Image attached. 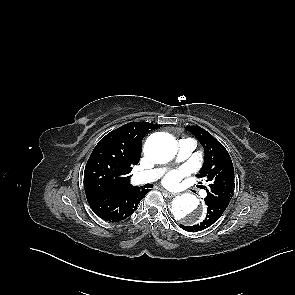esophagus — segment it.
Masks as SVG:
<instances>
[{"mask_svg":"<svg viewBox=\"0 0 295 295\" xmlns=\"http://www.w3.org/2000/svg\"><path fill=\"white\" fill-rule=\"evenodd\" d=\"M163 194L166 195L169 198H172V197H174L176 195L175 193H171V192H168L166 190H163Z\"/></svg>","mask_w":295,"mask_h":295,"instance_id":"obj_1","label":"esophagus"}]
</instances>
